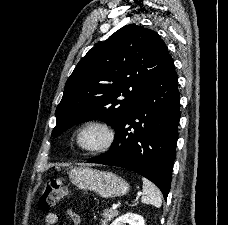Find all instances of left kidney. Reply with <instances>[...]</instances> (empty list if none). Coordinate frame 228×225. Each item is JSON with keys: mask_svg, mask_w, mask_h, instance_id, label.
Returning a JSON list of instances; mask_svg holds the SVG:
<instances>
[{"mask_svg": "<svg viewBox=\"0 0 228 225\" xmlns=\"http://www.w3.org/2000/svg\"><path fill=\"white\" fill-rule=\"evenodd\" d=\"M112 225H145V221L141 215L126 213V215H121V217L115 219Z\"/></svg>", "mask_w": 228, "mask_h": 225, "instance_id": "5707ae66", "label": "left kidney"}]
</instances>
